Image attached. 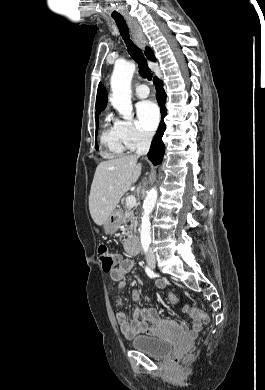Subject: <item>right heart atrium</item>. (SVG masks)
<instances>
[{
  "label": "right heart atrium",
  "mask_w": 265,
  "mask_h": 390,
  "mask_svg": "<svg viewBox=\"0 0 265 390\" xmlns=\"http://www.w3.org/2000/svg\"><path fill=\"white\" fill-rule=\"evenodd\" d=\"M117 125L122 140L130 150L143 146L151 140V135L140 129L133 121L117 120Z\"/></svg>",
  "instance_id": "d8ad5b80"
}]
</instances>
